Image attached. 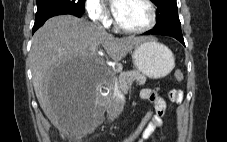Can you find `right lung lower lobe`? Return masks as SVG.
Listing matches in <instances>:
<instances>
[{
    "instance_id": "obj_1",
    "label": "right lung lower lobe",
    "mask_w": 227,
    "mask_h": 142,
    "mask_svg": "<svg viewBox=\"0 0 227 142\" xmlns=\"http://www.w3.org/2000/svg\"><path fill=\"white\" fill-rule=\"evenodd\" d=\"M61 14H70V15H74V16H77V17H81L82 14L80 13H76V12H59V13H53V14H49V15H44V16H41V17H37L35 19V23H34V26H33V29H32V33H34L40 26L43 25V23L53 17V16H56V15H61Z\"/></svg>"
}]
</instances>
